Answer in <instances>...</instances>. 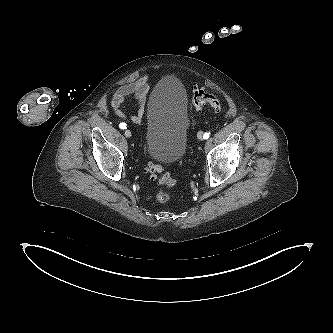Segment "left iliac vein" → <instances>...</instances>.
Wrapping results in <instances>:
<instances>
[{
  "mask_svg": "<svg viewBox=\"0 0 333 333\" xmlns=\"http://www.w3.org/2000/svg\"><path fill=\"white\" fill-rule=\"evenodd\" d=\"M197 137L199 140H203V132L202 131H199L198 134H197Z\"/></svg>",
  "mask_w": 333,
  "mask_h": 333,
  "instance_id": "obj_1",
  "label": "left iliac vein"
}]
</instances>
